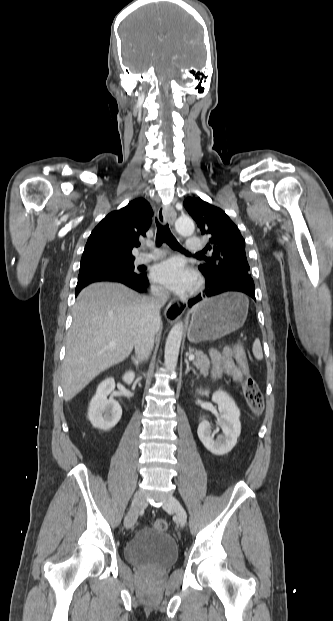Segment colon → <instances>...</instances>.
I'll list each match as a JSON object with an SVG mask.
<instances>
[{
    "mask_svg": "<svg viewBox=\"0 0 333 621\" xmlns=\"http://www.w3.org/2000/svg\"><path fill=\"white\" fill-rule=\"evenodd\" d=\"M234 356L240 369L242 370L245 376L243 392H244L246 402L248 406L250 407V409L254 413L258 414L262 411L263 406H264L263 394L258 384L256 383V381L250 375L249 366H248L247 359H246L245 348L242 345H238L235 348ZM168 526L169 525L166 519L158 518L154 521V528L157 530L167 531Z\"/></svg>",
    "mask_w": 333,
    "mask_h": 621,
    "instance_id": "1",
    "label": "colon"
}]
</instances>
